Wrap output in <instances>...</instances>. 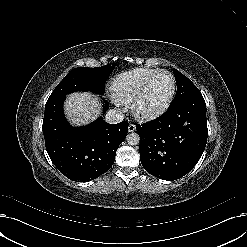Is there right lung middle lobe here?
<instances>
[{
  "mask_svg": "<svg viewBox=\"0 0 247 247\" xmlns=\"http://www.w3.org/2000/svg\"><path fill=\"white\" fill-rule=\"evenodd\" d=\"M115 64L97 68L77 67L71 70L51 93L48 100L65 97L75 91H90L103 94L105 82Z\"/></svg>",
  "mask_w": 247,
  "mask_h": 247,
  "instance_id": "obj_1",
  "label": "right lung middle lobe"
}]
</instances>
